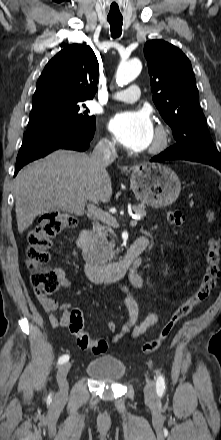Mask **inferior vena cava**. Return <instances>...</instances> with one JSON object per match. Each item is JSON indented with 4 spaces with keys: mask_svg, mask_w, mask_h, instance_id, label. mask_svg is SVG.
Wrapping results in <instances>:
<instances>
[{
    "mask_svg": "<svg viewBox=\"0 0 221 440\" xmlns=\"http://www.w3.org/2000/svg\"><path fill=\"white\" fill-rule=\"evenodd\" d=\"M116 157L115 144L107 139H102L95 146L90 158L96 171L104 173L106 172V167L111 164Z\"/></svg>",
    "mask_w": 221,
    "mask_h": 440,
    "instance_id": "602c4592",
    "label": "inferior vena cava"
}]
</instances>
